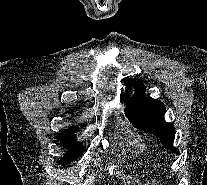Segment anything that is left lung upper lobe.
<instances>
[{
	"label": "left lung upper lobe",
	"mask_w": 207,
	"mask_h": 185,
	"mask_svg": "<svg viewBox=\"0 0 207 185\" xmlns=\"http://www.w3.org/2000/svg\"><path fill=\"white\" fill-rule=\"evenodd\" d=\"M126 82L127 86L130 84L135 87V95L129 100L125 111L128 119L138 129L157 136L165 148L179 153V150L173 147L174 125L164 120V104L157 99L145 97V86L141 81L135 83L126 79Z\"/></svg>",
	"instance_id": "obj_1"
}]
</instances>
